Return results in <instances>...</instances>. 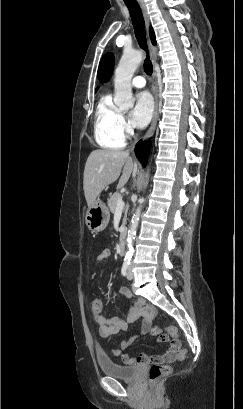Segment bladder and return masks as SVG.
Instances as JSON below:
<instances>
[{"label": "bladder", "mask_w": 243, "mask_h": 409, "mask_svg": "<svg viewBox=\"0 0 243 409\" xmlns=\"http://www.w3.org/2000/svg\"><path fill=\"white\" fill-rule=\"evenodd\" d=\"M100 370L107 376L124 380H135L141 372V368L135 365H121L111 359L97 358Z\"/></svg>", "instance_id": "bladder-1"}]
</instances>
